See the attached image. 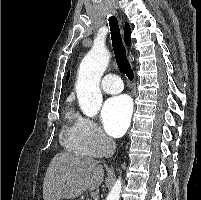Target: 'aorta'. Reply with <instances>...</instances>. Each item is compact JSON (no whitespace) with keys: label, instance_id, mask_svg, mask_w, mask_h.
Instances as JSON below:
<instances>
[{"label":"aorta","instance_id":"obj_1","mask_svg":"<svg viewBox=\"0 0 201 200\" xmlns=\"http://www.w3.org/2000/svg\"><path fill=\"white\" fill-rule=\"evenodd\" d=\"M110 61V54L102 43H94L91 50L80 63L76 82V93L82 112L94 117L102 105L99 88L101 77ZM122 188L121 179H117L106 200H119Z\"/></svg>","mask_w":201,"mask_h":200}]
</instances>
